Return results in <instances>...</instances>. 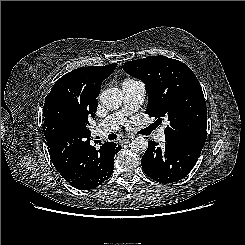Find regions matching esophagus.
Instances as JSON below:
<instances>
[{
	"instance_id": "esophagus-1",
	"label": "esophagus",
	"mask_w": 245,
	"mask_h": 245,
	"mask_svg": "<svg viewBox=\"0 0 245 245\" xmlns=\"http://www.w3.org/2000/svg\"><path fill=\"white\" fill-rule=\"evenodd\" d=\"M132 138L130 134H124L119 137V140L123 143H127Z\"/></svg>"
}]
</instances>
